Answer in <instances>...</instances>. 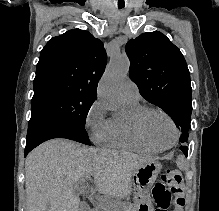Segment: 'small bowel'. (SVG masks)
<instances>
[{"mask_svg":"<svg viewBox=\"0 0 219 211\" xmlns=\"http://www.w3.org/2000/svg\"><path fill=\"white\" fill-rule=\"evenodd\" d=\"M155 202L157 204V209L156 211H167L170 201H171V195L170 192L159 188L155 191Z\"/></svg>","mask_w":219,"mask_h":211,"instance_id":"1","label":"small bowel"}]
</instances>
